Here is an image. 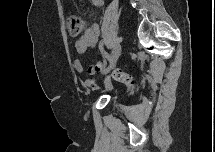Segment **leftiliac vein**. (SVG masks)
I'll list each match as a JSON object with an SVG mask.
<instances>
[{"instance_id":"obj_1","label":"left iliac vein","mask_w":215,"mask_h":152,"mask_svg":"<svg viewBox=\"0 0 215 152\" xmlns=\"http://www.w3.org/2000/svg\"><path fill=\"white\" fill-rule=\"evenodd\" d=\"M121 52V45L119 42H116L113 52H112V57H113V63L110 64L112 66V68L116 65L117 59L120 55Z\"/></svg>"}]
</instances>
